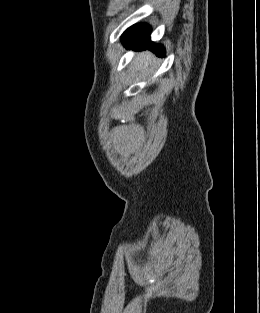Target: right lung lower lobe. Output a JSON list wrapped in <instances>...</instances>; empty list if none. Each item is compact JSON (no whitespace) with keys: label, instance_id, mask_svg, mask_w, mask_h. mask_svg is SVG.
I'll list each match as a JSON object with an SVG mask.
<instances>
[{"label":"right lung lower lobe","instance_id":"1","mask_svg":"<svg viewBox=\"0 0 260 313\" xmlns=\"http://www.w3.org/2000/svg\"><path fill=\"white\" fill-rule=\"evenodd\" d=\"M150 26L146 24H137L127 29L122 35V42L128 48H149L158 56H164V48L161 45H155L150 41Z\"/></svg>","mask_w":260,"mask_h":313}]
</instances>
